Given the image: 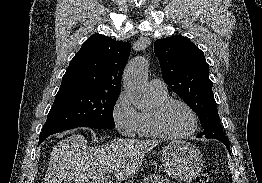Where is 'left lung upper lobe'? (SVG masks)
<instances>
[{
	"label": "left lung upper lobe",
	"instance_id": "left-lung-upper-lobe-1",
	"mask_svg": "<svg viewBox=\"0 0 262 183\" xmlns=\"http://www.w3.org/2000/svg\"><path fill=\"white\" fill-rule=\"evenodd\" d=\"M154 52L160 61L165 83L198 115L207 138L223 135L203 52L181 35L156 40Z\"/></svg>",
	"mask_w": 262,
	"mask_h": 183
}]
</instances>
